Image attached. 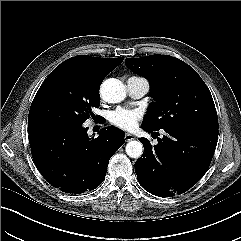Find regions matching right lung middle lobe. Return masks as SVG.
Segmentation results:
<instances>
[{"mask_svg": "<svg viewBox=\"0 0 241 241\" xmlns=\"http://www.w3.org/2000/svg\"><path fill=\"white\" fill-rule=\"evenodd\" d=\"M100 105L99 90L85 85L75 71L60 64L46 78L31 104L28 129L83 124Z\"/></svg>", "mask_w": 241, "mask_h": 241, "instance_id": "dd1d6c3e", "label": "right lung middle lobe"}]
</instances>
